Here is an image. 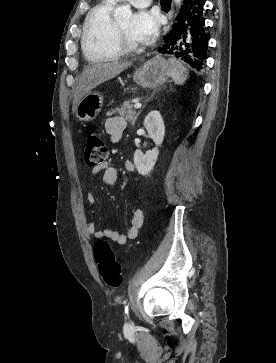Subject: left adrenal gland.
Segmentation results:
<instances>
[{"label": "left adrenal gland", "instance_id": "left-adrenal-gland-1", "mask_svg": "<svg viewBox=\"0 0 276 363\" xmlns=\"http://www.w3.org/2000/svg\"><path fill=\"white\" fill-rule=\"evenodd\" d=\"M140 112H141V111H139V112L137 113L135 120L137 119V117H138V115L140 114ZM135 120H134L133 124L135 123Z\"/></svg>", "mask_w": 276, "mask_h": 363}]
</instances>
